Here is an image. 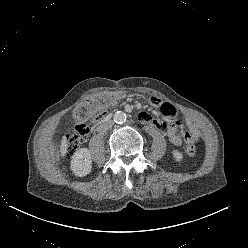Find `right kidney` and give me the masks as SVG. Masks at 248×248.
<instances>
[{
	"label": "right kidney",
	"mask_w": 248,
	"mask_h": 248,
	"mask_svg": "<svg viewBox=\"0 0 248 248\" xmlns=\"http://www.w3.org/2000/svg\"><path fill=\"white\" fill-rule=\"evenodd\" d=\"M92 157L87 148L78 149L71 159V170L78 177H84L91 172Z\"/></svg>",
	"instance_id": "right-kidney-1"
}]
</instances>
